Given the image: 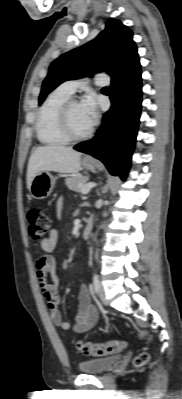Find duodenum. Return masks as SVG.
<instances>
[{
    "label": "duodenum",
    "instance_id": "1",
    "mask_svg": "<svg viewBox=\"0 0 182 399\" xmlns=\"http://www.w3.org/2000/svg\"><path fill=\"white\" fill-rule=\"evenodd\" d=\"M92 227H93V218L92 217H88L85 221V225L82 231V237L84 239H88L91 231H92Z\"/></svg>",
    "mask_w": 182,
    "mask_h": 399
}]
</instances>
